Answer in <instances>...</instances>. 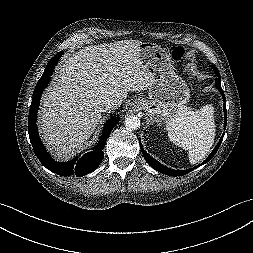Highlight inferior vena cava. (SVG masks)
<instances>
[{
	"instance_id": "obj_1",
	"label": "inferior vena cava",
	"mask_w": 253,
	"mask_h": 253,
	"mask_svg": "<svg viewBox=\"0 0 253 253\" xmlns=\"http://www.w3.org/2000/svg\"><path fill=\"white\" fill-rule=\"evenodd\" d=\"M120 106V102L113 99H105L101 103L102 112H109L113 109H117Z\"/></svg>"
}]
</instances>
